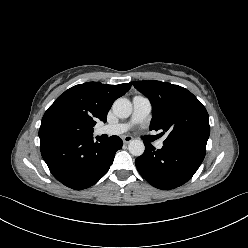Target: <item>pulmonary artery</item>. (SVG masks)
Returning <instances> with one entry per match:
<instances>
[{"mask_svg": "<svg viewBox=\"0 0 248 248\" xmlns=\"http://www.w3.org/2000/svg\"><path fill=\"white\" fill-rule=\"evenodd\" d=\"M133 112L131 118L126 123L108 124L99 128L100 134L119 135L128 131L134 124L145 121L152 110V105L149 99L143 95H137L132 100ZM164 145V139L156 143V147L161 149Z\"/></svg>", "mask_w": 248, "mask_h": 248, "instance_id": "e3ab8cb5", "label": "pulmonary artery"}]
</instances>
